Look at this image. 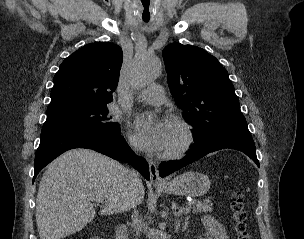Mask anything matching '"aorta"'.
I'll return each instance as SVG.
<instances>
[{
	"instance_id": "762f6f07",
	"label": "aorta",
	"mask_w": 304,
	"mask_h": 239,
	"mask_svg": "<svg viewBox=\"0 0 304 239\" xmlns=\"http://www.w3.org/2000/svg\"><path fill=\"white\" fill-rule=\"evenodd\" d=\"M161 71V61L156 57H137L132 66L131 84L134 87H143L154 81Z\"/></svg>"
}]
</instances>
